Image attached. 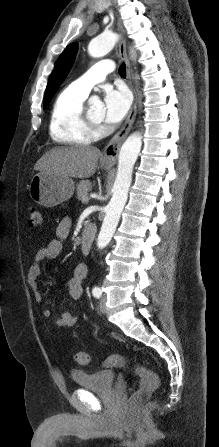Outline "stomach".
<instances>
[{
	"label": "stomach",
	"instance_id": "0dacf381",
	"mask_svg": "<svg viewBox=\"0 0 219 447\" xmlns=\"http://www.w3.org/2000/svg\"><path fill=\"white\" fill-rule=\"evenodd\" d=\"M105 168L109 169L111 163L103 161ZM74 181L49 171H40L35 174L29 184L31 199L44 207H54L70 199L74 193Z\"/></svg>",
	"mask_w": 219,
	"mask_h": 447
}]
</instances>
